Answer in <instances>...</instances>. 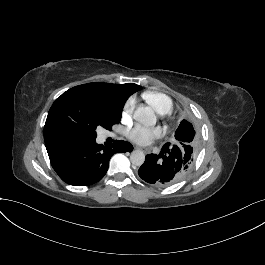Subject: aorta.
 <instances>
[{
    "label": "aorta",
    "mask_w": 265,
    "mask_h": 265,
    "mask_svg": "<svg viewBox=\"0 0 265 265\" xmlns=\"http://www.w3.org/2000/svg\"><path fill=\"white\" fill-rule=\"evenodd\" d=\"M134 118L145 126H154L156 116L150 107L142 106L135 110ZM130 161L135 166H141L145 162V154L140 150H134L130 155Z\"/></svg>",
    "instance_id": "762f6f07"
}]
</instances>
